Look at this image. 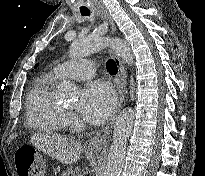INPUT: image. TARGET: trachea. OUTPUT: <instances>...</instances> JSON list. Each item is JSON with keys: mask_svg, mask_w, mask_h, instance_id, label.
<instances>
[{"mask_svg": "<svg viewBox=\"0 0 205 176\" xmlns=\"http://www.w3.org/2000/svg\"><path fill=\"white\" fill-rule=\"evenodd\" d=\"M80 13L82 16H90V11L88 9L80 10ZM106 67L111 74H116L118 71L117 65L112 59H108V61L106 62Z\"/></svg>", "mask_w": 205, "mask_h": 176, "instance_id": "1", "label": "trachea"}]
</instances>
